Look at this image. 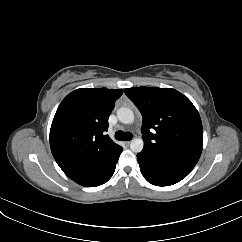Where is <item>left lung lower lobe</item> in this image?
Returning <instances> with one entry per match:
<instances>
[{
	"mask_svg": "<svg viewBox=\"0 0 242 242\" xmlns=\"http://www.w3.org/2000/svg\"><path fill=\"white\" fill-rule=\"evenodd\" d=\"M144 178L156 186L173 185L185 178L194 166L161 157L146 149L137 154Z\"/></svg>",
	"mask_w": 242,
	"mask_h": 242,
	"instance_id": "left-lung-lower-lobe-1",
	"label": "left lung lower lobe"
}]
</instances>
